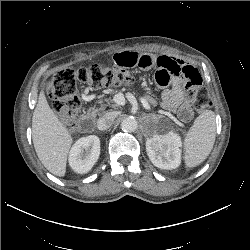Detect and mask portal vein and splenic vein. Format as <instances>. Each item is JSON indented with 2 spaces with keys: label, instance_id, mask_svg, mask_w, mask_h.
<instances>
[{
  "label": "portal vein and splenic vein",
  "instance_id": "portal-vein-and-splenic-vein-1",
  "mask_svg": "<svg viewBox=\"0 0 250 250\" xmlns=\"http://www.w3.org/2000/svg\"><path fill=\"white\" fill-rule=\"evenodd\" d=\"M117 100H118L119 105H123L124 102H125V98H124V96L122 94L117 95Z\"/></svg>",
  "mask_w": 250,
  "mask_h": 250
}]
</instances>
